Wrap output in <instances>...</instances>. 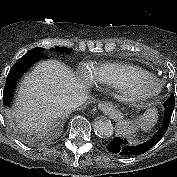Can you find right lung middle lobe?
<instances>
[{
  "label": "right lung middle lobe",
  "mask_w": 177,
  "mask_h": 177,
  "mask_svg": "<svg viewBox=\"0 0 177 177\" xmlns=\"http://www.w3.org/2000/svg\"><path fill=\"white\" fill-rule=\"evenodd\" d=\"M55 48H56V50L63 52V53H68L71 51L70 49L64 48V47H55ZM28 53H44V49L43 48H34V49H31Z\"/></svg>",
  "instance_id": "right-lung-middle-lobe-1"
}]
</instances>
